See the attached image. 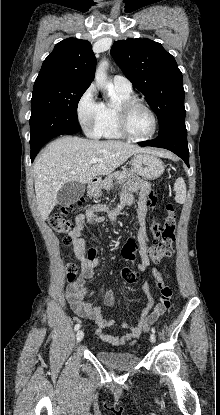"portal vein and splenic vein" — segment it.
I'll use <instances>...</instances> for the list:
<instances>
[{"label":"portal vein and splenic vein","instance_id":"1","mask_svg":"<svg viewBox=\"0 0 220 415\" xmlns=\"http://www.w3.org/2000/svg\"><path fill=\"white\" fill-rule=\"evenodd\" d=\"M98 161H99V159H98V158H92V159L90 160V163H91V164H96Z\"/></svg>","mask_w":220,"mask_h":415}]
</instances>
